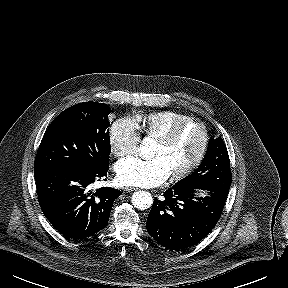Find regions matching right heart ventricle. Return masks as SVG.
I'll return each mask as SVG.
<instances>
[{"label": "right heart ventricle", "mask_w": 288, "mask_h": 288, "mask_svg": "<svg viewBox=\"0 0 288 288\" xmlns=\"http://www.w3.org/2000/svg\"><path fill=\"white\" fill-rule=\"evenodd\" d=\"M189 116L172 110L137 115L133 118L140 131L148 138L156 139L175 123Z\"/></svg>", "instance_id": "obj_1"}]
</instances>
